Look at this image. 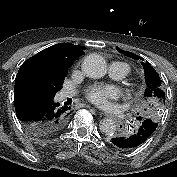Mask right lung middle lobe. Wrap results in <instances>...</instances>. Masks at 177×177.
<instances>
[{
    "instance_id": "obj_1",
    "label": "right lung middle lobe",
    "mask_w": 177,
    "mask_h": 177,
    "mask_svg": "<svg viewBox=\"0 0 177 177\" xmlns=\"http://www.w3.org/2000/svg\"><path fill=\"white\" fill-rule=\"evenodd\" d=\"M26 88L34 91H38L41 93H45L48 95H55L56 92L61 89V88H56V87H49V86H42L37 83H29L28 85L25 86Z\"/></svg>"
}]
</instances>
